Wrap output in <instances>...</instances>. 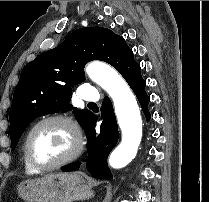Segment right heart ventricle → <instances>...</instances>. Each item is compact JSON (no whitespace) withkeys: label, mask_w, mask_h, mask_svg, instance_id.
I'll use <instances>...</instances> for the list:
<instances>
[{"label":"right heart ventricle","mask_w":209,"mask_h":202,"mask_svg":"<svg viewBox=\"0 0 209 202\" xmlns=\"http://www.w3.org/2000/svg\"><path fill=\"white\" fill-rule=\"evenodd\" d=\"M23 165H24V170L26 173L30 174V173H37L38 171H36L35 169H33L27 162L24 153H23Z\"/></svg>","instance_id":"right-heart-ventricle-1"}]
</instances>
